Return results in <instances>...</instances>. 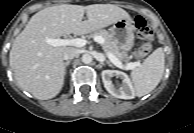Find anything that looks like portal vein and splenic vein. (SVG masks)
Instances as JSON below:
<instances>
[{
	"label": "portal vein and splenic vein",
	"mask_w": 194,
	"mask_h": 133,
	"mask_svg": "<svg viewBox=\"0 0 194 133\" xmlns=\"http://www.w3.org/2000/svg\"><path fill=\"white\" fill-rule=\"evenodd\" d=\"M44 41L47 44L54 46V47H57V46L83 47L86 45V42H87L86 40L81 39V38H76V39L45 38ZM94 41L101 45L105 43V39L101 36H95ZM106 55L114 65H116L119 68L124 67L123 64L119 61V59L116 58L112 53L107 52ZM140 65H141L140 62H131V63H128L124 68L131 70Z\"/></svg>",
	"instance_id": "obj_1"
}]
</instances>
